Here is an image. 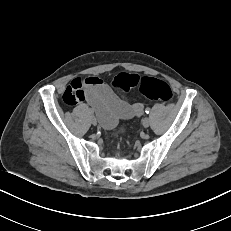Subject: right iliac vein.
Here are the masks:
<instances>
[{"label": "right iliac vein", "mask_w": 231, "mask_h": 231, "mask_svg": "<svg viewBox=\"0 0 231 231\" xmlns=\"http://www.w3.org/2000/svg\"><path fill=\"white\" fill-rule=\"evenodd\" d=\"M91 123L95 126L97 125V120L94 116L91 117Z\"/></svg>", "instance_id": "obj_1"}]
</instances>
